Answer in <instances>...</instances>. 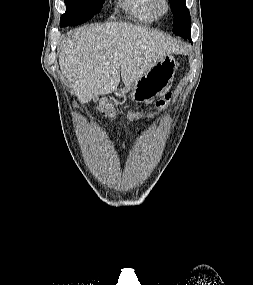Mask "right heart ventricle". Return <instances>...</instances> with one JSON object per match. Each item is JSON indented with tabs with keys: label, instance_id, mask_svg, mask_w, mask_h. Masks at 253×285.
Returning <instances> with one entry per match:
<instances>
[{
	"label": "right heart ventricle",
	"instance_id": "obj_1",
	"mask_svg": "<svg viewBox=\"0 0 253 285\" xmlns=\"http://www.w3.org/2000/svg\"><path fill=\"white\" fill-rule=\"evenodd\" d=\"M123 9L139 22L150 23L155 19L150 0H123Z\"/></svg>",
	"mask_w": 253,
	"mask_h": 285
}]
</instances>
